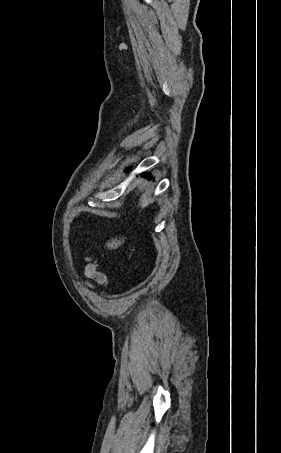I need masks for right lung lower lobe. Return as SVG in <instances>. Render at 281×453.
Instances as JSON below:
<instances>
[{
  "label": "right lung lower lobe",
  "instance_id": "98d812e1",
  "mask_svg": "<svg viewBox=\"0 0 281 453\" xmlns=\"http://www.w3.org/2000/svg\"><path fill=\"white\" fill-rule=\"evenodd\" d=\"M142 177H146L147 179H151V176H145L144 174H141Z\"/></svg>",
  "mask_w": 281,
  "mask_h": 453
}]
</instances>
